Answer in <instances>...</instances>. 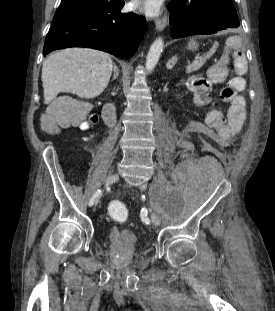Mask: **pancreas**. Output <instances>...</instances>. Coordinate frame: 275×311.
Listing matches in <instances>:
<instances>
[{"mask_svg":"<svg viewBox=\"0 0 275 311\" xmlns=\"http://www.w3.org/2000/svg\"><path fill=\"white\" fill-rule=\"evenodd\" d=\"M199 63H200V61H199ZM188 68V71H193V70H195L197 67H196V64L194 63V64H192L191 66H189V67H187Z\"/></svg>","mask_w":275,"mask_h":311,"instance_id":"1","label":"pancreas"}]
</instances>
